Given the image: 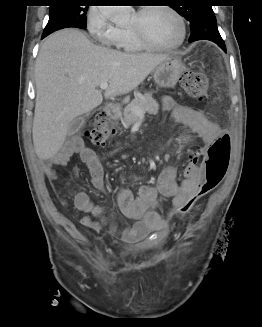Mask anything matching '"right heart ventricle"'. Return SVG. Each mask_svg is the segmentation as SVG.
Instances as JSON below:
<instances>
[{"instance_id": "1", "label": "right heart ventricle", "mask_w": 262, "mask_h": 327, "mask_svg": "<svg viewBox=\"0 0 262 327\" xmlns=\"http://www.w3.org/2000/svg\"><path fill=\"white\" fill-rule=\"evenodd\" d=\"M120 39L118 47L127 52H139L145 49L138 40L135 38L129 28H119Z\"/></svg>"}]
</instances>
